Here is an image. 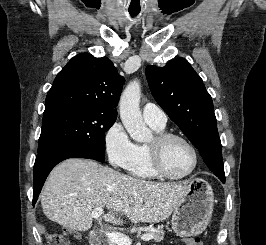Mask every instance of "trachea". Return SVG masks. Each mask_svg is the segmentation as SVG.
<instances>
[{"mask_svg": "<svg viewBox=\"0 0 266 245\" xmlns=\"http://www.w3.org/2000/svg\"><path fill=\"white\" fill-rule=\"evenodd\" d=\"M131 16H136L137 12H130Z\"/></svg>", "mask_w": 266, "mask_h": 245, "instance_id": "obj_1", "label": "trachea"}]
</instances>
